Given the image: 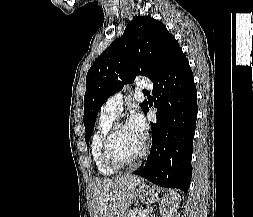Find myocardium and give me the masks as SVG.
Here are the masks:
<instances>
[{
	"mask_svg": "<svg viewBox=\"0 0 253 217\" xmlns=\"http://www.w3.org/2000/svg\"><path fill=\"white\" fill-rule=\"evenodd\" d=\"M126 124L120 121L114 122L107 133L105 134L101 147H100V153H101V158L104 161V163L114 169H123V168H128L136 165L145 155L146 150H147V140L144 138L143 140V145L139 153L136 155L135 158H133L130 161L124 162L119 159H117L111 151V144L113 141V138L115 137L117 131L119 128L122 126H125Z\"/></svg>",
	"mask_w": 253,
	"mask_h": 217,
	"instance_id": "1",
	"label": "myocardium"
}]
</instances>
